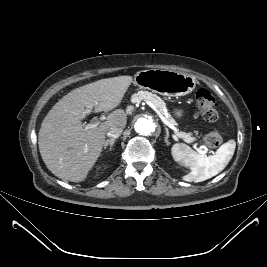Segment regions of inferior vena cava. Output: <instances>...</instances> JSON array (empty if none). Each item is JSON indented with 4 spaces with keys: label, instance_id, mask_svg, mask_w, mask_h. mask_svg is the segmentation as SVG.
Masks as SVG:
<instances>
[{
    "label": "inferior vena cava",
    "instance_id": "inferior-vena-cava-1",
    "mask_svg": "<svg viewBox=\"0 0 267 267\" xmlns=\"http://www.w3.org/2000/svg\"><path fill=\"white\" fill-rule=\"evenodd\" d=\"M123 132V128L119 126H112L107 132V136L111 138H117L119 137Z\"/></svg>",
    "mask_w": 267,
    "mask_h": 267
}]
</instances>
